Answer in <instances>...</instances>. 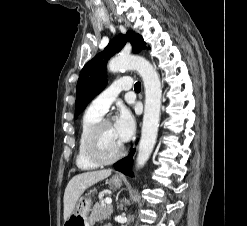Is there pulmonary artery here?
I'll return each mask as SVG.
<instances>
[{
	"mask_svg": "<svg viewBox=\"0 0 247 226\" xmlns=\"http://www.w3.org/2000/svg\"><path fill=\"white\" fill-rule=\"evenodd\" d=\"M132 88L130 77H122L115 80L108 88L97 95L91 102L89 108L103 116L109 109L110 105L116 100L119 93Z\"/></svg>",
	"mask_w": 247,
	"mask_h": 226,
	"instance_id": "obj_1",
	"label": "pulmonary artery"
}]
</instances>
